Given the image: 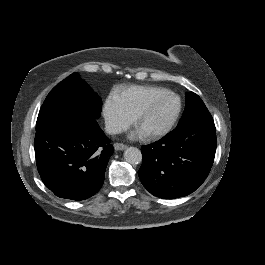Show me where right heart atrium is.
I'll return each mask as SVG.
<instances>
[{"label": "right heart atrium", "instance_id": "d8ad5b80", "mask_svg": "<svg viewBox=\"0 0 265 265\" xmlns=\"http://www.w3.org/2000/svg\"><path fill=\"white\" fill-rule=\"evenodd\" d=\"M102 115L105 128L110 134L121 133L134 122V118L124 113L114 100L105 104Z\"/></svg>", "mask_w": 265, "mask_h": 265}]
</instances>
